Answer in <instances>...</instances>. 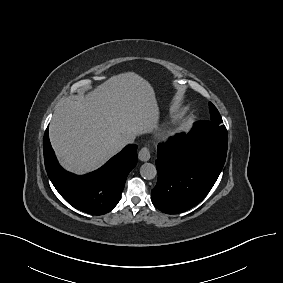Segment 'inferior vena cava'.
<instances>
[{
    "mask_svg": "<svg viewBox=\"0 0 283 283\" xmlns=\"http://www.w3.org/2000/svg\"><path fill=\"white\" fill-rule=\"evenodd\" d=\"M135 134H132V133H126V134H123L120 139H119V143L121 146H125L127 144H131L134 142V139H135Z\"/></svg>",
    "mask_w": 283,
    "mask_h": 283,
    "instance_id": "1",
    "label": "inferior vena cava"
}]
</instances>
